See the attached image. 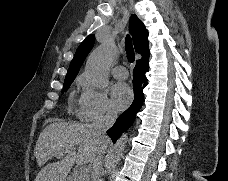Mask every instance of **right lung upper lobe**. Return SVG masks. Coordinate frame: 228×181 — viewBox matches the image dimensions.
Here are the masks:
<instances>
[{
  "label": "right lung upper lobe",
  "mask_w": 228,
  "mask_h": 181,
  "mask_svg": "<svg viewBox=\"0 0 228 181\" xmlns=\"http://www.w3.org/2000/svg\"><path fill=\"white\" fill-rule=\"evenodd\" d=\"M129 30L133 36L134 47L137 53L141 54L142 57L149 55L148 50V32L141 22V20L136 16L132 15L129 22ZM95 42V36L93 34L89 35L77 48L75 56L71 61L68 72L66 74L65 81L74 80L79 68L83 64L88 53L91 51Z\"/></svg>",
  "instance_id": "1"
}]
</instances>
